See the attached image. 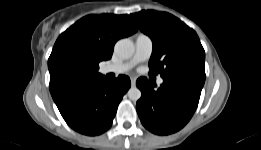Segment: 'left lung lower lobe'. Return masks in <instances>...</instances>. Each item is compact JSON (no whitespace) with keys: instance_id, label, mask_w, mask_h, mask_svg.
Returning <instances> with one entry per match:
<instances>
[{"instance_id":"0a47b994","label":"left lung lower lobe","mask_w":261,"mask_h":150,"mask_svg":"<svg viewBox=\"0 0 261 150\" xmlns=\"http://www.w3.org/2000/svg\"><path fill=\"white\" fill-rule=\"evenodd\" d=\"M204 82L205 76L182 72L163 77V84L155 89V84L140 77L136 85L142 95L136 109L144 127L158 135L180 130L194 114Z\"/></svg>"}]
</instances>
